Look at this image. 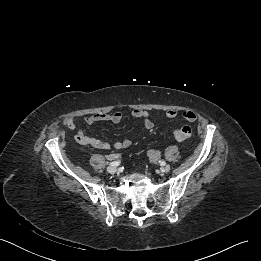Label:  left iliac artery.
Listing matches in <instances>:
<instances>
[{
    "mask_svg": "<svg viewBox=\"0 0 261 261\" xmlns=\"http://www.w3.org/2000/svg\"><path fill=\"white\" fill-rule=\"evenodd\" d=\"M160 164L163 166V165H165L166 163H165V161H160Z\"/></svg>",
    "mask_w": 261,
    "mask_h": 261,
    "instance_id": "obj_1",
    "label": "left iliac artery"
}]
</instances>
